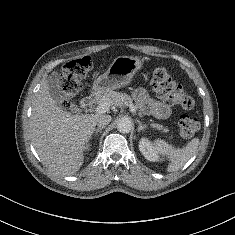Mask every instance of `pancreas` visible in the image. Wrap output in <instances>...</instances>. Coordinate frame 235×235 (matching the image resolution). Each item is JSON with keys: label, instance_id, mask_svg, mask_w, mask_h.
I'll return each instance as SVG.
<instances>
[{"label": "pancreas", "instance_id": "obj_1", "mask_svg": "<svg viewBox=\"0 0 235 235\" xmlns=\"http://www.w3.org/2000/svg\"><path fill=\"white\" fill-rule=\"evenodd\" d=\"M107 102L110 106H124L127 105L129 102H132V98L125 93L116 92V91H109L104 93L98 98V104ZM158 130L163 129L167 131V129L162 128L160 125L155 126ZM172 138V137H171Z\"/></svg>", "mask_w": 235, "mask_h": 235}]
</instances>
